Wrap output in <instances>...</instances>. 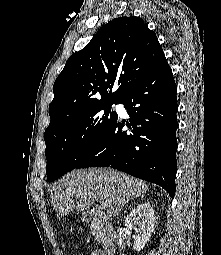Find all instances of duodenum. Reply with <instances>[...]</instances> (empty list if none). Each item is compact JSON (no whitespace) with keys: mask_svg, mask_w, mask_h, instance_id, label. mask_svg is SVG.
<instances>
[{"mask_svg":"<svg viewBox=\"0 0 221 255\" xmlns=\"http://www.w3.org/2000/svg\"><path fill=\"white\" fill-rule=\"evenodd\" d=\"M84 221L97 228L106 255H115L118 240L111 221L106 216L92 211L84 214Z\"/></svg>","mask_w":221,"mask_h":255,"instance_id":"410a0bca","label":"duodenum"}]
</instances>
